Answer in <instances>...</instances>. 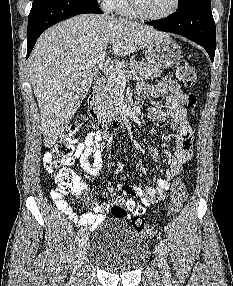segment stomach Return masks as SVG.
I'll list each match as a JSON object with an SVG mask.
<instances>
[{
  "label": "stomach",
  "mask_w": 233,
  "mask_h": 286,
  "mask_svg": "<svg viewBox=\"0 0 233 286\" xmlns=\"http://www.w3.org/2000/svg\"><path fill=\"white\" fill-rule=\"evenodd\" d=\"M148 63L157 69L174 66L181 58V48L169 36L163 37L146 48Z\"/></svg>",
  "instance_id": "stomach-1"
}]
</instances>
